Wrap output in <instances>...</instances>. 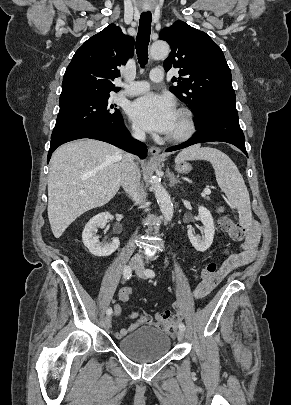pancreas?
Wrapping results in <instances>:
<instances>
[{"instance_id":"1","label":"pancreas","mask_w":291,"mask_h":405,"mask_svg":"<svg viewBox=\"0 0 291 405\" xmlns=\"http://www.w3.org/2000/svg\"><path fill=\"white\" fill-rule=\"evenodd\" d=\"M206 200H210V198L208 196L204 197Z\"/></svg>"}]
</instances>
